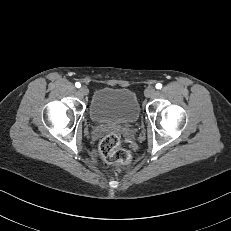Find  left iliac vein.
Returning a JSON list of instances; mask_svg holds the SVG:
<instances>
[{
    "label": "left iliac vein",
    "mask_w": 231,
    "mask_h": 231,
    "mask_svg": "<svg viewBox=\"0 0 231 231\" xmlns=\"http://www.w3.org/2000/svg\"><path fill=\"white\" fill-rule=\"evenodd\" d=\"M144 94L147 98L153 97L156 94V89L154 87H148L146 88Z\"/></svg>",
    "instance_id": "left-iliac-vein-1"
}]
</instances>
